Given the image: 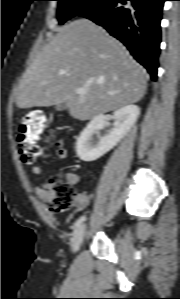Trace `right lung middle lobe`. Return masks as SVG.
Masks as SVG:
<instances>
[{
	"mask_svg": "<svg viewBox=\"0 0 180 299\" xmlns=\"http://www.w3.org/2000/svg\"><path fill=\"white\" fill-rule=\"evenodd\" d=\"M59 24H63L74 16H80L104 0H57Z\"/></svg>",
	"mask_w": 180,
	"mask_h": 299,
	"instance_id": "right-lung-middle-lobe-1",
	"label": "right lung middle lobe"
}]
</instances>
